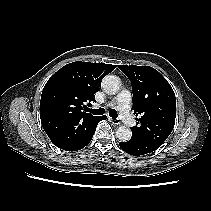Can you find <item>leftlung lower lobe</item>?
I'll use <instances>...</instances> for the list:
<instances>
[{
    "label": "left lung lower lobe",
    "instance_id": "obj_1",
    "mask_svg": "<svg viewBox=\"0 0 211 211\" xmlns=\"http://www.w3.org/2000/svg\"><path fill=\"white\" fill-rule=\"evenodd\" d=\"M120 147L126 153L134 156L148 154L158 148V146L143 140L131 137V139L125 143L120 142Z\"/></svg>",
    "mask_w": 211,
    "mask_h": 211
}]
</instances>
